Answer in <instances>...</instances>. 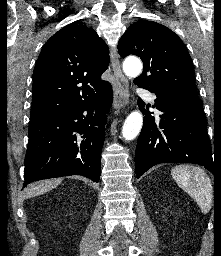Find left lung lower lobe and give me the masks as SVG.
Masks as SVG:
<instances>
[{
    "label": "left lung lower lobe",
    "mask_w": 221,
    "mask_h": 256,
    "mask_svg": "<svg viewBox=\"0 0 221 256\" xmlns=\"http://www.w3.org/2000/svg\"><path fill=\"white\" fill-rule=\"evenodd\" d=\"M154 94L162 114L155 121L143 110L144 124L135 154L137 178L156 164L171 162L195 163L215 172L203 102L192 96ZM137 103L145 105L141 99Z\"/></svg>",
    "instance_id": "1"
}]
</instances>
